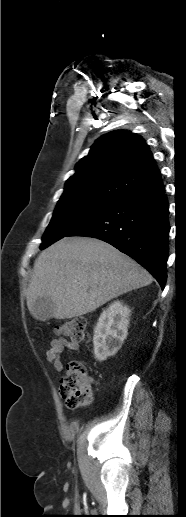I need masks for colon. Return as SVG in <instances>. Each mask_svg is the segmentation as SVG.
Returning a JSON list of instances; mask_svg holds the SVG:
<instances>
[{
    "mask_svg": "<svg viewBox=\"0 0 186 517\" xmlns=\"http://www.w3.org/2000/svg\"><path fill=\"white\" fill-rule=\"evenodd\" d=\"M87 322L83 318L73 319L57 326L54 332L70 338L73 342L89 338ZM59 391L68 408L90 405L93 401V383L87 375V365L82 361H72L65 369L59 383Z\"/></svg>",
    "mask_w": 186,
    "mask_h": 517,
    "instance_id": "colon-1",
    "label": "colon"
}]
</instances>
